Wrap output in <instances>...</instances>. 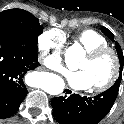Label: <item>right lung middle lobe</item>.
Instances as JSON below:
<instances>
[{
  "label": "right lung middle lobe",
  "mask_w": 124,
  "mask_h": 124,
  "mask_svg": "<svg viewBox=\"0 0 124 124\" xmlns=\"http://www.w3.org/2000/svg\"><path fill=\"white\" fill-rule=\"evenodd\" d=\"M42 33L39 20L22 9L0 12V37L24 38L37 46V38Z\"/></svg>",
  "instance_id": "1"
}]
</instances>
